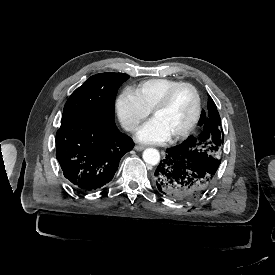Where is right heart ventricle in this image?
Segmentation results:
<instances>
[{
  "instance_id": "right-heart-ventricle-1",
  "label": "right heart ventricle",
  "mask_w": 275,
  "mask_h": 275,
  "mask_svg": "<svg viewBox=\"0 0 275 275\" xmlns=\"http://www.w3.org/2000/svg\"><path fill=\"white\" fill-rule=\"evenodd\" d=\"M177 81L169 78H151L140 82L134 92L143 105L152 111L164 92Z\"/></svg>"
}]
</instances>
